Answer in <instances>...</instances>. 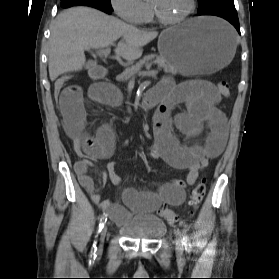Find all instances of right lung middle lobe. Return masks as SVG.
I'll list each match as a JSON object with an SVG mask.
<instances>
[{"label": "right lung middle lobe", "instance_id": "dd1d6c3e", "mask_svg": "<svg viewBox=\"0 0 279 279\" xmlns=\"http://www.w3.org/2000/svg\"><path fill=\"white\" fill-rule=\"evenodd\" d=\"M100 4L105 6L106 8L112 10L111 2L110 0H97Z\"/></svg>", "mask_w": 279, "mask_h": 279}]
</instances>
